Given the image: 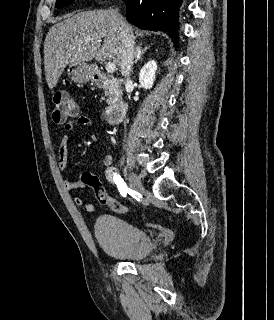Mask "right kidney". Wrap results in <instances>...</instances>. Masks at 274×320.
<instances>
[{"label":"right kidney","mask_w":274,"mask_h":320,"mask_svg":"<svg viewBox=\"0 0 274 320\" xmlns=\"http://www.w3.org/2000/svg\"><path fill=\"white\" fill-rule=\"evenodd\" d=\"M157 68L158 66L155 60H150V62H147V64L141 68L139 72V82L145 90H151L156 80Z\"/></svg>","instance_id":"1"}]
</instances>
